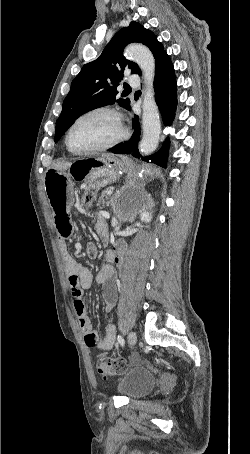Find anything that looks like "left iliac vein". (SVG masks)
Returning <instances> with one entry per match:
<instances>
[{
  "instance_id": "obj_1",
  "label": "left iliac vein",
  "mask_w": 250,
  "mask_h": 454,
  "mask_svg": "<svg viewBox=\"0 0 250 454\" xmlns=\"http://www.w3.org/2000/svg\"><path fill=\"white\" fill-rule=\"evenodd\" d=\"M128 342L131 346L137 343V335L135 332L131 331L128 335Z\"/></svg>"
}]
</instances>
